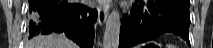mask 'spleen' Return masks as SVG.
<instances>
[{"mask_svg":"<svg viewBox=\"0 0 213 48\" xmlns=\"http://www.w3.org/2000/svg\"><path fill=\"white\" fill-rule=\"evenodd\" d=\"M166 48H177L174 44H166Z\"/></svg>","mask_w":213,"mask_h":48,"instance_id":"1","label":"spleen"}]
</instances>
